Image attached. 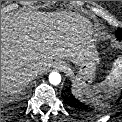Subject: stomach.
Listing matches in <instances>:
<instances>
[{
    "label": "stomach",
    "mask_w": 122,
    "mask_h": 122,
    "mask_svg": "<svg viewBox=\"0 0 122 122\" xmlns=\"http://www.w3.org/2000/svg\"><path fill=\"white\" fill-rule=\"evenodd\" d=\"M99 63V57L96 50L88 52L84 58L77 64L78 71L74 76L73 84L87 86L95 77L96 66Z\"/></svg>",
    "instance_id": "0dacf381"
}]
</instances>
